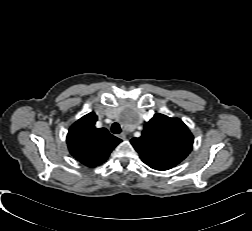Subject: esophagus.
Returning <instances> with one entry per match:
<instances>
[{
	"mask_svg": "<svg viewBox=\"0 0 252 231\" xmlns=\"http://www.w3.org/2000/svg\"><path fill=\"white\" fill-rule=\"evenodd\" d=\"M119 138H121V139H126V134L125 133H121L120 135H119Z\"/></svg>",
	"mask_w": 252,
	"mask_h": 231,
	"instance_id": "esophagus-1",
	"label": "esophagus"
}]
</instances>
